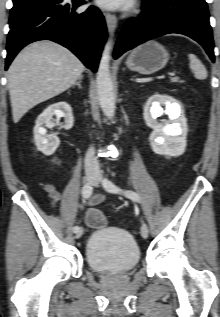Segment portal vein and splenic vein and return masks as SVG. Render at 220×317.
Segmentation results:
<instances>
[{
  "instance_id": "1",
  "label": "portal vein and splenic vein",
  "mask_w": 220,
  "mask_h": 317,
  "mask_svg": "<svg viewBox=\"0 0 220 317\" xmlns=\"http://www.w3.org/2000/svg\"><path fill=\"white\" fill-rule=\"evenodd\" d=\"M169 76L173 78L175 76V74L174 73H169Z\"/></svg>"
}]
</instances>
